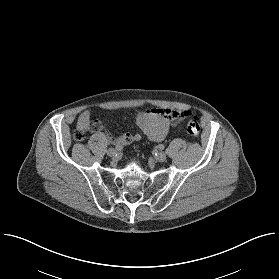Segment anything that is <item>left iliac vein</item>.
Returning <instances> with one entry per match:
<instances>
[{
	"label": "left iliac vein",
	"instance_id": "obj_1",
	"mask_svg": "<svg viewBox=\"0 0 279 279\" xmlns=\"http://www.w3.org/2000/svg\"><path fill=\"white\" fill-rule=\"evenodd\" d=\"M155 159L158 162H164L166 160V154L163 152H159L158 154H156Z\"/></svg>",
	"mask_w": 279,
	"mask_h": 279
}]
</instances>
